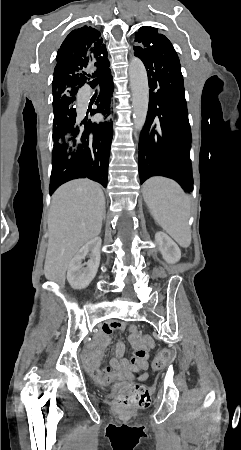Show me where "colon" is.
<instances>
[{
    "label": "colon",
    "mask_w": 241,
    "mask_h": 450,
    "mask_svg": "<svg viewBox=\"0 0 241 450\" xmlns=\"http://www.w3.org/2000/svg\"><path fill=\"white\" fill-rule=\"evenodd\" d=\"M168 357V352H161L153 363L154 368H161L168 361ZM116 401L118 405L128 410H144L151 406L149 392L142 385L121 387L117 392Z\"/></svg>",
    "instance_id": "1"
}]
</instances>
